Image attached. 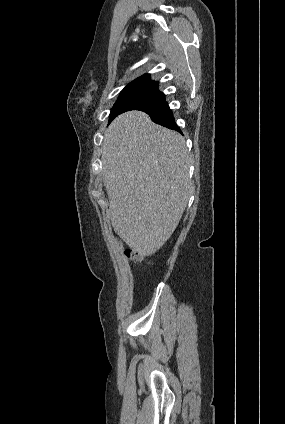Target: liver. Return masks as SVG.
Masks as SVG:
<instances>
[{
  "label": "liver",
  "instance_id": "1",
  "mask_svg": "<svg viewBox=\"0 0 285 424\" xmlns=\"http://www.w3.org/2000/svg\"><path fill=\"white\" fill-rule=\"evenodd\" d=\"M108 215L116 234L141 256L175 231L191 192L184 138L141 111L116 117L101 146Z\"/></svg>",
  "mask_w": 285,
  "mask_h": 424
}]
</instances>
